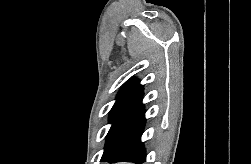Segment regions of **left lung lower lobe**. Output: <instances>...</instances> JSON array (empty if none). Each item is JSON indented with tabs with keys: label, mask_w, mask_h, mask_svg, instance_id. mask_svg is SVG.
<instances>
[{
	"label": "left lung lower lobe",
	"mask_w": 251,
	"mask_h": 164,
	"mask_svg": "<svg viewBox=\"0 0 251 164\" xmlns=\"http://www.w3.org/2000/svg\"><path fill=\"white\" fill-rule=\"evenodd\" d=\"M145 121L144 104L141 98L128 113L120 127L112 154L102 162L135 164L146 162L145 148L141 142Z\"/></svg>",
	"instance_id": "0a47b994"
}]
</instances>
